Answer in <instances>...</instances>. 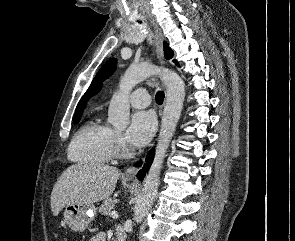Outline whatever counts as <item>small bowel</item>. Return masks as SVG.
Returning <instances> with one entry per match:
<instances>
[{"label":"small bowel","instance_id":"1","mask_svg":"<svg viewBox=\"0 0 295 241\" xmlns=\"http://www.w3.org/2000/svg\"><path fill=\"white\" fill-rule=\"evenodd\" d=\"M89 241H105V235L104 233H97L93 235Z\"/></svg>","mask_w":295,"mask_h":241}]
</instances>
